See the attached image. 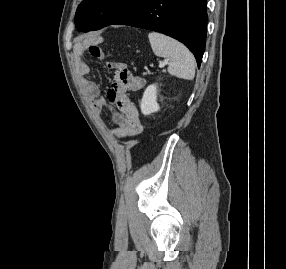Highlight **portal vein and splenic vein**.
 <instances>
[{
  "mask_svg": "<svg viewBox=\"0 0 286 269\" xmlns=\"http://www.w3.org/2000/svg\"><path fill=\"white\" fill-rule=\"evenodd\" d=\"M166 64H167V61L160 62V63H159V67H160V68H163Z\"/></svg>",
  "mask_w": 286,
  "mask_h": 269,
  "instance_id": "obj_1",
  "label": "portal vein and splenic vein"
}]
</instances>
